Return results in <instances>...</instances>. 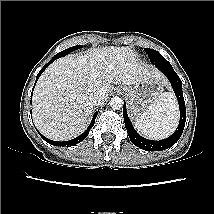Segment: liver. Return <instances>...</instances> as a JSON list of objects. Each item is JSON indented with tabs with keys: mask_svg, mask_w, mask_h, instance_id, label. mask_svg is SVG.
I'll return each mask as SVG.
<instances>
[{
	"mask_svg": "<svg viewBox=\"0 0 214 214\" xmlns=\"http://www.w3.org/2000/svg\"><path fill=\"white\" fill-rule=\"evenodd\" d=\"M162 81L154 68L138 61L129 47L93 48L54 61L39 78L33 93L34 124L46 137L69 140L81 134L94 103L89 94L103 90L107 95L114 84L135 85L149 79Z\"/></svg>",
	"mask_w": 214,
	"mask_h": 214,
	"instance_id": "6515ba94",
	"label": "liver"
}]
</instances>
